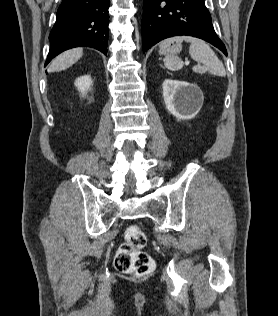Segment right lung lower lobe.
I'll list each match as a JSON object with an SVG mask.
<instances>
[{
    "label": "right lung lower lobe",
    "instance_id": "right-lung-lower-lobe-1",
    "mask_svg": "<svg viewBox=\"0 0 278 316\" xmlns=\"http://www.w3.org/2000/svg\"><path fill=\"white\" fill-rule=\"evenodd\" d=\"M110 0H63L49 35L45 66L59 53L74 47H92L106 55Z\"/></svg>",
    "mask_w": 278,
    "mask_h": 316
}]
</instances>
